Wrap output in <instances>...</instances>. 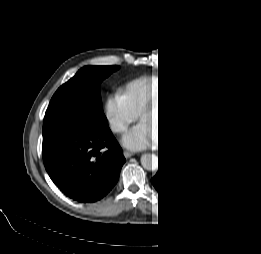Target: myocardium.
I'll return each mask as SVG.
<instances>
[{"instance_id": "1", "label": "myocardium", "mask_w": 261, "mask_h": 254, "mask_svg": "<svg viewBox=\"0 0 261 254\" xmlns=\"http://www.w3.org/2000/svg\"><path fill=\"white\" fill-rule=\"evenodd\" d=\"M165 94H166V91L164 92L163 95H165ZM157 105H158V96H157ZM154 106H155V100L152 99V100L142 109V111H141V113H140V118H144V116H145L148 112H150V111H152V110L154 109ZM179 127H181V125H180ZM179 127L176 128L170 135L165 134L164 136L161 137V139H162V140H166V139H171V138H173V137L177 134V132L179 131Z\"/></svg>"}]
</instances>
